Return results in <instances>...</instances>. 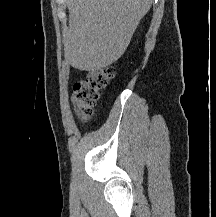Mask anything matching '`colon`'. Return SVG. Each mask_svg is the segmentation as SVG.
Here are the masks:
<instances>
[{
    "instance_id": "1",
    "label": "colon",
    "mask_w": 216,
    "mask_h": 217,
    "mask_svg": "<svg viewBox=\"0 0 216 217\" xmlns=\"http://www.w3.org/2000/svg\"><path fill=\"white\" fill-rule=\"evenodd\" d=\"M115 71L111 67L90 71L85 80L74 85L73 103L75 113L80 121H88L93 113L100 91L103 90L114 77Z\"/></svg>"
}]
</instances>
